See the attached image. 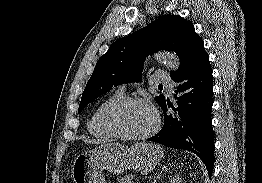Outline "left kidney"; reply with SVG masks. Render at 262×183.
Listing matches in <instances>:
<instances>
[{
  "label": "left kidney",
  "mask_w": 262,
  "mask_h": 183,
  "mask_svg": "<svg viewBox=\"0 0 262 183\" xmlns=\"http://www.w3.org/2000/svg\"><path fill=\"white\" fill-rule=\"evenodd\" d=\"M181 182H182V178L179 175H176L171 179V183H181Z\"/></svg>",
  "instance_id": "obj_1"
}]
</instances>
